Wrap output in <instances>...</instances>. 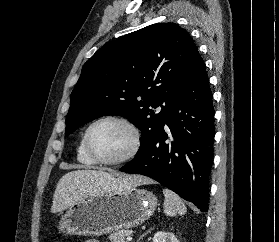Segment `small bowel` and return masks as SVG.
<instances>
[{
  "mask_svg": "<svg viewBox=\"0 0 279 242\" xmlns=\"http://www.w3.org/2000/svg\"><path fill=\"white\" fill-rule=\"evenodd\" d=\"M85 242H99V241L94 240V239H90V240H86Z\"/></svg>",
  "mask_w": 279,
  "mask_h": 242,
  "instance_id": "1",
  "label": "small bowel"
}]
</instances>
